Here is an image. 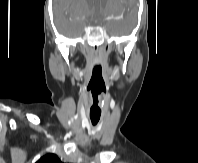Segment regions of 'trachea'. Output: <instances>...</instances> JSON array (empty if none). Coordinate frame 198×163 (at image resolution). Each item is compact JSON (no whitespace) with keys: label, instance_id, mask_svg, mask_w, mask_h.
I'll list each match as a JSON object with an SVG mask.
<instances>
[{"label":"trachea","instance_id":"1","mask_svg":"<svg viewBox=\"0 0 198 163\" xmlns=\"http://www.w3.org/2000/svg\"><path fill=\"white\" fill-rule=\"evenodd\" d=\"M95 103H96L95 105L97 106V101H96ZM93 106H94V105H93ZM90 119H91L92 124H93V125H96V124L98 123L100 117L90 116Z\"/></svg>","mask_w":198,"mask_h":163}]
</instances>
